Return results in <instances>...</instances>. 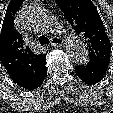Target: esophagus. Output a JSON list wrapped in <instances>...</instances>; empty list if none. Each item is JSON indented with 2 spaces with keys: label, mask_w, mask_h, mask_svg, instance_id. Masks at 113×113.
Wrapping results in <instances>:
<instances>
[{
  "label": "esophagus",
  "mask_w": 113,
  "mask_h": 113,
  "mask_svg": "<svg viewBox=\"0 0 113 113\" xmlns=\"http://www.w3.org/2000/svg\"><path fill=\"white\" fill-rule=\"evenodd\" d=\"M51 46L61 47L63 45V40L60 37L54 36L50 41Z\"/></svg>",
  "instance_id": "34e87169"
}]
</instances>
